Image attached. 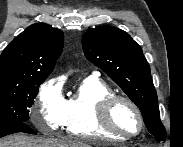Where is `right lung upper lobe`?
Here are the masks:
<instances>
[{"instance_id":"obj_1","label":"right lung upper lobe","mask_w":183,"mask_h":147,"mask_svg":"<svg viewBox=\"0 0 183 147\" xmlns=\"http://www.w3.org/2000/svg\"><path fill=\"white\" fill-rule=\"evenodd\" d=\"M61 30L45 23L29 26L0 56V84L46 79L63 49Z\"/></svg>"}]
</instances>
